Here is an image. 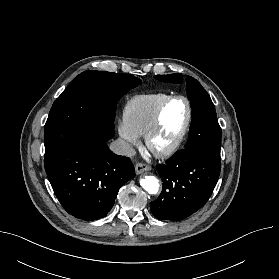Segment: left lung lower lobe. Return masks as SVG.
<instances>
[{"label":"left lung lower lobe","instance_id":"1","mask_svg":"<svg viewBox=\"0 0 279 279\" xmlns=\"http://www.w3.org/2000/svg\"><path fill=\"white\" fill-rule=\"evenodd\" d=\"M220 161L202 151L184 148L158 165L163 189L150 203L152 214L159 220L179 221L202 208L218 181Z\"/></svg>","mask_w":279,"mask_h":279}]
</instances>
